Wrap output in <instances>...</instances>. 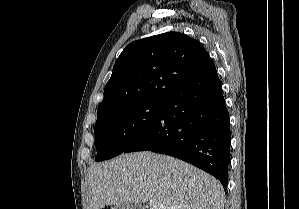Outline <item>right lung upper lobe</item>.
<instances>
[{
  "instance_id": "right-lung-upper-lobe-1",
  "label": "right lung upper lobe",
  "mask_w": 299,
  "mask_h": 209,
  "mask_svg": "<svg viewBox=\"0 0 299 209\" xmlns=\"http://www.w3.org/2000/svg\"><path fill=\"white\" fill-rule=\"evenodd\" d=\"M206 49L179 32L134 41L116 60L97 113L137 102H165L193 75L214 70Z\"/></svg>"
}]
</instances>
